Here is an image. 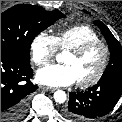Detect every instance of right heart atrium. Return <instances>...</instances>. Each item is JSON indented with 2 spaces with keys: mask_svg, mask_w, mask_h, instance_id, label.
Wrapping results in <instances>:
<instances>
[{
  "mask_svg": "<svg viewBox=\"0 0 122 122\" xmlns=\"http://www.w3.org/2000/svg\"><path fill=\"white\" fill-rule=\"evenodd\" d=\"M58 50L55 37L42 31L32 40L30 45V55L32 62L37 66H42L54 58Z\"/></svg>",
  "mask_w": 122,
  "mask_h": 122,
  "instance_id": "d8ad5b80",
  "label": "right heart atrium"
}]
</instances>
